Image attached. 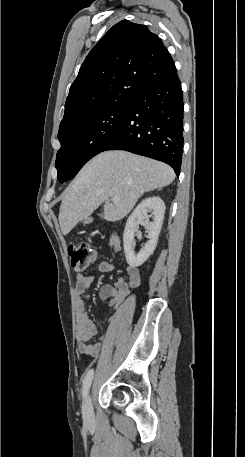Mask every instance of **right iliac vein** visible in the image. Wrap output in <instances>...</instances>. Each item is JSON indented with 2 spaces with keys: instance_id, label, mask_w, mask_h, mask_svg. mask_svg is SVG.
Wrapping results in <instances>:
<instances>
[{
  "instance_id": "obj_1",
  "label": "right iliac vein",
  "mask_w": 245,
  "mask_h": 457,
  "mask_svg": "<svg viewBox=\"0 0 245 457\" xmlns=\"http://www.w3.org/2000/svg\"><path fill=\"white\" fill-rule=\"evenodd\" d=\"M82 413L85 422L92 423L94 421V413L92 409V399L91 396L88 395L83 403L82 406Z\"/></svg>"
}]
</instances>
